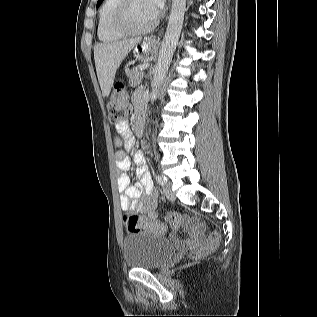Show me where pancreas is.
I'll return each instance as SVG.
<instances>
[{
  "label": "pancreas",
  "mask_w": 317,
  "mask_h": 317,
  "mask_svg": "<svg viewBox=\"0 0 317 317\" xmlns=\"http://www.w3.org/2000/svg\"><path fill=\"white\" fill-rule=\"evenodd\" d=\"M126 75L129 78V85L131 87H136L141 83L144 73L139 67H134L133 69L126 70Z\"/></svg>",
  "instance_id": "cf45deb5"
}]
</instances>
